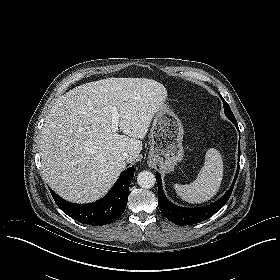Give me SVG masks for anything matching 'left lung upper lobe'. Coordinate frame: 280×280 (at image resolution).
<instances>
[{
	"label": "left lung upper lobe",
	"mask_w": 280,
	"mask_h": 280,
	"mask_svg": "<svg viewBox=\"0 0 280 280\" xmlns=\"http://www.w3.org/2000/svg\"><path fill=\"white\" fill-rule=\"evenodd\" d=\"M220 95V94H219ZM221 99H222V102H223V106H224V112H225V115L233 122V123H237L230 107H229V104L223 99V97L220 95Z\"/></svg>",
	"instance_id": "5c2ea615"
}]
</instances>
